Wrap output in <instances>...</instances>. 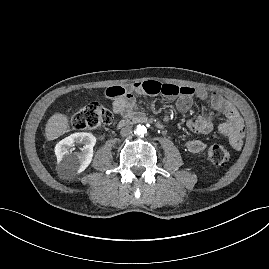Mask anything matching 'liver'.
<instances>
[{
    "instance_id": "1",
    "label": "liver",
    "mask_w": 269,
    "mask_h": 269,
    "mask_svg": "<svg viewBox=\"0 0 269 269\" xmlns=\"http://www.w3.org/2000/svg\"><path fill=\"white\" fill-rule=\"evenodd\" d=\"M69 130V119L65 114L55 113L47 121L45 136L48 141L58 138Z\"/></svg>"
}]
</instances>
